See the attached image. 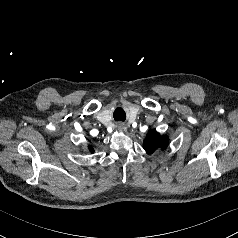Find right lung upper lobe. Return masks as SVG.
Here are the masks:
<instances>
[{
  "label": "right lung upper lobe",
  "mask_w": 238,
  "mask_h": 238,
  "mask_svg": "<svg viewBox=\"0 0 238 238\" xmlns=\"http://www.w3.org/2000/svg\"><path fill=\"white\" fill-rule=\"evenodd\" d=\"M89 150H90L91 152H94V149L92 148V146H89Z\"/></svg>",
  "instance_id": "1"
}]
</instances>
